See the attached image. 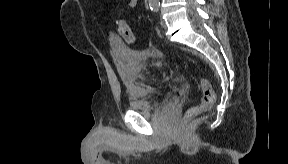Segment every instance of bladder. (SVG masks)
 Wrapping results in <instances>:
<instances>
[{
  "mask_svg": "<svg viewBox=\"0 0 288 164\" xmlns=\"http://www.w3.org/2000/svg\"><path fill=\"white\" fill-rule=\"evenodd\" d=\"M110 47L117 65L131 81L129 109L142 114L152 113L160 104L158 93L149 86L140 85L137 80L146 62V55L131 49L123 40L111 37Z\"/></svg>",
  "mask_w": 288,
  "mask_h": 164,
  "instance_id": "31cf9c89",
  "label": "bladder"
}]
</instances>
